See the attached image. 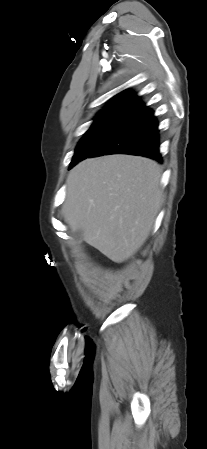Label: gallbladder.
I'll list each match as a JSON object with an SVG mask.
<instances>
[{
  "label": "gallbladder",
  "mask_w": 207,
  "mask_h": 449,
  "mask_svg": "<svg viewBox=\"0 0 207 449\" xmlns=\"http://www.w3.org/2000/svg\"><path fill=\"white\" fill-rule=\"evenodd\" d=\"M74 237H75L76 239H78V240H82V239H83V233H82V231L76 230V231L74 232Z\"/></svg>",
  "instance_id": "bac80fb5"
}]
</instances>
